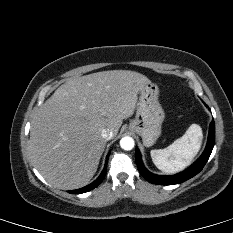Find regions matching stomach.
Instances as JSON below:
<instances>
[{
	"label": "stomach",
	"instance_id": "stomach-1",
	"mask_svg": "<svg viewBox=\"0 0 233 233\" xmlns=\"http://www.w3.org/2000/svg\"><path fill=\"white\" fill-rule=\"evenodd\" d=\"M159 89L152 82L139 89V101L136 116L129 123V130L140 135L143 144L152 146L161 134V125L165 118L164 110L158 101Z\"/></svg>",
	"mask_w": 233,
	"mask_h": 233
}]
</instances>
